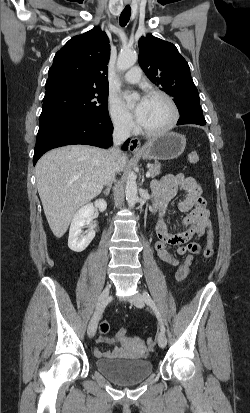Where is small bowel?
<instances>
[{
    "label": "small bowel",
    "instance_id": "obj_1",
    "mask_svg": "<svg viewBox=\"0 0 250 413\" xmlns=\"http://www.w3.org/2000/svg\"><path fill=\"white\" fill-rule=\"evenodd\" d=\"M179 190H183L185 195L180 199L178 207L186 215L181 220V225L186 226V230L178 233H170L163 221V215L169 202L176 196ZM152 193L156 199L155 206L160 214L155 235V249L160 260L177 267L176 279H185L191 270V266L196 254L201 250L200 245L193 239L203 235L207 236L213 244V230L208 217L206 202L202 198V189L199 182L183 173L169 174L152 183ZM106 341L111 344L121 343L124 347L114 346L112 350H102L96 348V357H145L148 350L144 340L135 336L132 338L113 340L107 337H100L99 342Z\"/></svg>",
    "mask_w": 250,
    "mask_h": 413
}]
</instances>
